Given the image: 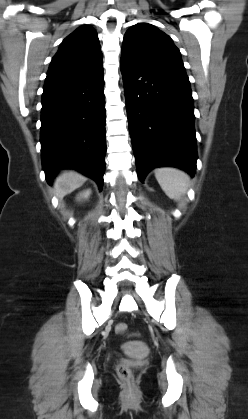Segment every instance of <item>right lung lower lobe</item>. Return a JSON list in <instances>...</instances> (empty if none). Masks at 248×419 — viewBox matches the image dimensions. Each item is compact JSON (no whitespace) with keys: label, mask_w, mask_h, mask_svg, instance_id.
<instances>
[{"label":"right lung lower lobe","mask_w":248,"mask_h":419,"mask_svg":"<svg viewBox=\"0 0 248 419\" xmlns=\"http://www.w3.org/2000/svg\"><path fill=\"white\" fill-rule=\"evenodd\" d=\"M103 67L70 80L45 83L41 154L48 183L62 168L93 178L102 189L105 169Z\"/></svg>","instance_id":"98d812e1"}]
</instances>
